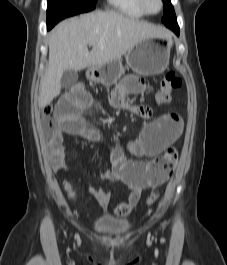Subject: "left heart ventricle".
Masks as SVG:
<instances>
[{
    "label": "left heart ventricle",
    "instance_id": "b2bd125f",
    "mask_svg": "<svg viewBox=\"0 0 227 265\" xmlns=\"http://www.w3.org/2000/svg\"><path fill=\"white\" fill-rule=\"evenodd\" d=\"M147 7L151 11H156L158 9L157 0H147Z\"/></svg>",
    "mask_w": 227,
    "mask_h": 265
}]
</instances>
